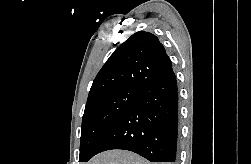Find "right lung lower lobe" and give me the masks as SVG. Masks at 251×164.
<instances>
[{
  "label": "right lung lower lobe",
  "mask_w": 251,
  "mask_h": 164,
  "mask_svg": "<svg viewBox=\"0 0 251 164\" xmlns=\"http://www.w3.org/2000/svg\"><path fill=\"white\" fill-rule=\"evenodd\" d=\"M136 101L94 146V155L123 149L151 162H175L178 139V88L172 69L139 88Z\"/></svg>",
  "instance_id": "obj_1"
}]
</instances>
